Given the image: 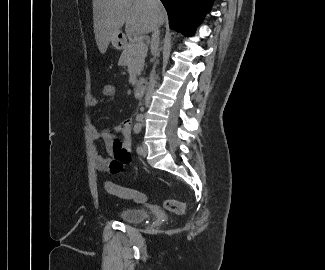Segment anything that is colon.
Instances as JSON below:
<instances>
[{"label":"colon","instance_id":"obj_1","mask_svg":"<svg viewBox=\"0 0 325 270\" xmlns=\"http://www.w3.org/2000/svg\"><path fill=\"white\" fill-rule=\"evenodd\" d=\"M102 94L108 100L116 99V86L113 83H106L102 88ZM104 186L109 194L116 197L132 200L138 203L146 201V196L142 192L116 185L110 181L105 182ZM164 206L167 210L175 214H183L186 210V203L174 199L165 200Z\"/></svg>","mask_w":325,"mask_h":270}]
</instances>
